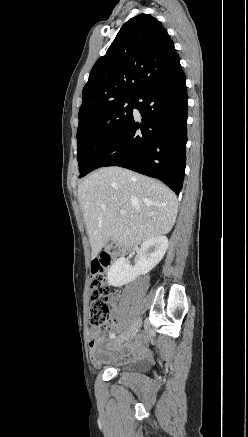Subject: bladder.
I'll list each match as a JSON object with an SVG mask.
<instances>
[{
    "label": "bladder",
    "instance_id": "1",
    "mask_svg": "<svg viewBox=\"0 0 248 437\" xmlns=\"http://www.w3.org/2000/svg\"><path fill=\"white\" fill-rule=\"evenodd\" d=\"M138 371V369H135V368H133V367H126V368H123L122 370H121V372H123V373H128V374H131V373H134V372H137Z\"/></svg>",
    "mask_w": 248,
    "mask_h": 437
}]
</instances>
